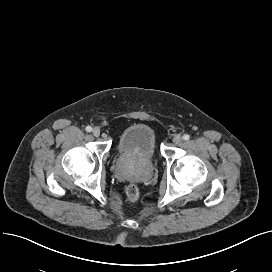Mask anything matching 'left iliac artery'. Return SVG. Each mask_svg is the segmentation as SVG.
<instances>
[{
	"label": "left iliac artery",
	"mask_w": 272,
	"mask_h": 272,
	"mask_svg": "<svg viewBox=\"0 0 272 272\" xmlns=\"http://www.w3.org/2000/svg\"><path fill=\"white\" fill-rule=\"evenodd\" d=\"M183 139L187 141V140L190 139V136H189L188 134H184V135H183Z\"/></svg>",
	"instance_id": "obj_1"
}]
</instances>
